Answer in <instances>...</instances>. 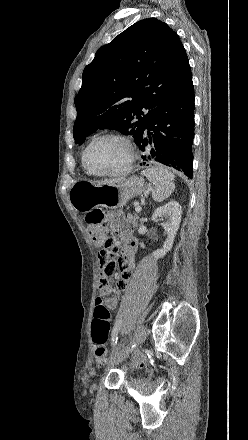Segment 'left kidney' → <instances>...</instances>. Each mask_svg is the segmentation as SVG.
<instances>
[{"instance_id": "5707ae66", "label": "left kidney", "mask_w": 248, "mask_h": 440, "mask_svg": "<svg viewBox=\"0 0 248 440\" xmlns=\"http://www.w3.org/2000/svg\"><path fill=\"white\" fill-rule=\"evenodd\" d=\"M181 216L182 208L177 201H170L166 205L159 207L154 211L152 220L157 222L165 218L166 221L163 222L161 226L167 232V239L163 244V248L152 253V257L155 259L164 257L166 253L171 250L175 235L181 222Z\"/></svg>"}]
</instances>
